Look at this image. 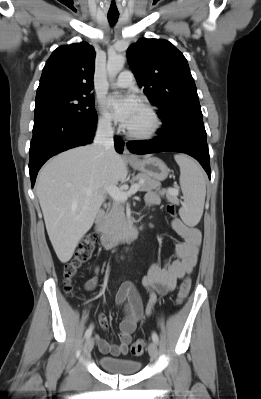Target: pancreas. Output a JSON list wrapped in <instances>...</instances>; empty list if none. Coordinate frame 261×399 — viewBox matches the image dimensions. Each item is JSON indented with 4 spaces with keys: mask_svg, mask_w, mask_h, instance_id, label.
Segmentation results:
<instances>
[{
    "mask_svg": "<svg viewBox=\"0 0 261 399\" xmlns=\"http://www.w3.org/2000/svg\"><path fill=\"white\" fill-rule=\"evenodd\" d=\"M134 181L141 182L139 183L140 191L157 190L161 195H169L166 190H160L161 183L159 181H156L144 174H138L134 176L130 182L133 183ZM126 224L127 219L124 213V207L119 201L114 200L108 205V209L104 218L105 232L108 235H116L126 227Z\"/></svg>",
    "mask_w": 261,
    "mask_h": 399,
    "instance_id": "pancreas-1",
    "label": "pancreas"
}]
</instances>
